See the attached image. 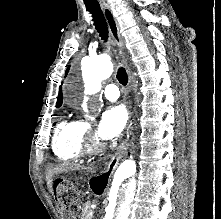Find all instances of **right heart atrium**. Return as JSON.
<instances>
[{"label":"right heart atrium","instance_id":"1","mask_svg":"<svg viewBox=\"0 0 221 219\" xmlns=\"http://www.w3.org/2000/svg\"><path fill=\"white\" fill-rule=\"evenodd\" d=\"M89 128H90L89 126L86 127L87 130H89Z\"/></svg>","mask_w":221,"mask_h":219}]
</instances>
